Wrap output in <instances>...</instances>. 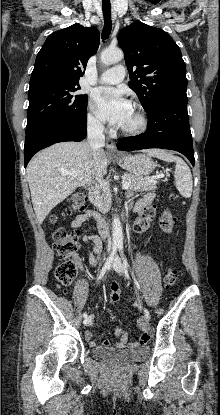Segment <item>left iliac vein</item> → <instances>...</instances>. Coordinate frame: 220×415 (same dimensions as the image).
I'll list each match as a JSON object with an SVG mask.
<instances>
[{
	"label": "left iliac vein",
	"instance_id": "4c4485c4",
	"mask_svg": "<svg viewBox=\"0 0 220 415\" xmlns=\"http://www.w3.org/2000/svg\"><path fill=\"white\" fill-rule=\"evenodd\" d=\"M113 268L119 274H124L125 273V268L123 267L121 259L119 258L118 255L115 256V259H114V262H113ZM145 318H146L147 321L150 320V318H147L146 316H145Z\"/></svg>",
	"mask_w": 220,
	"mask_h": 415
}]
</instances>
